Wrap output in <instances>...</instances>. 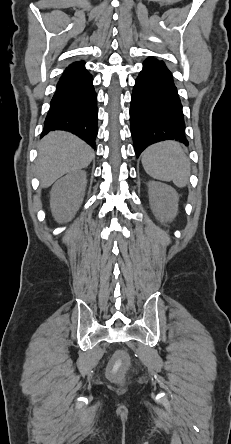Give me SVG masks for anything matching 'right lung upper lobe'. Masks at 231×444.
<instances>
[{
  "label": "right lung upper lobe",
  "instance_id": "cb5924a9",
  "mask_svg": "<svg viewBox=\"0 0 231 444\" xmlns=\"http://www.w3.org/2000/svg\"><path fill=\"white\" fill-rule=\"evenodd\" d=\"M84 64H85L84 61H81V62H74V63L70 64V65L66 68L65 71H72V70L79 69V68L83 67Z\"/></svg>",
  "mask_w": 231,
  "mask_h": 444
}]
</instances>
